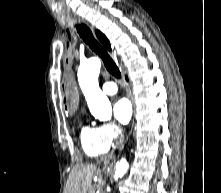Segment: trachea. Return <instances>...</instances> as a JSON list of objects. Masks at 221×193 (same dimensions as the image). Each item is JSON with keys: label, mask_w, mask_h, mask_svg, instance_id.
<instances>
[{"label": "trachea", "mask_w": 221, "mask_h": 193, "mask_svg": "<svg viewBox=\"0 0 221 193\" xmlns=\"http://www.w3.org/2000/svg\"><path fill=\"white\" fill-rule=\"evenodd\" d=\"M77 32L83 41L89 45V47L99 55V57L103 60V63L107 69V71L112 74L115 78H121V72L113 59L109 56V54L103 49V47L95 40L90 29L84 24L76 25Z\"/></svg>", "instance_id": "trachea-1"}]
</instances>
